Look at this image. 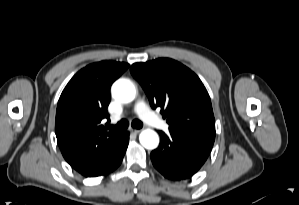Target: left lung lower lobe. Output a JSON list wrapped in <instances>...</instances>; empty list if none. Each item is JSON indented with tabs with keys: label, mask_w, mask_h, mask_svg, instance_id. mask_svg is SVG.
I'll list each match as a JSON object with an SVG mask.
<instances>
[{
	"label": "left lung lower lobe",
	"mask_w": 299,
	"mask_h": 205,
	"mask_svg": "<svg viewBox=\"0 0 299 205\" xmlns=\"http://www.w3.org/2000/svg\"><path fill=\"white\" fill-rule=\"evenodd\" d=\"M160 145L152 151L154 167L166 178L189 179L207 160L215 136L185 131L170 132L167 136L160 131Z\"/></svg>",
	"instance_id": "0a47b994"
}]
</instances>
